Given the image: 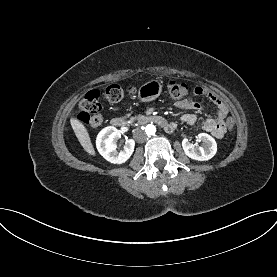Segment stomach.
Returning <instances> with one entry per match:
<instances>
[{
	"label": "stomach",
	"instance_id": "0dacf381",
	"mask_svg": "<svg viewBox=\"0 0 277 277\" xmlns=\"http://www.w3.org/2000/svg\"><path fill=\"white\" fill-rule=\"evenodd\" d=\"M162 83L159 80H150L138 89V99L142 102H150L158 98L162 92Z\"/></svg>",
	"mask_w": 277,
	"mask_h": 277
}]
</instances>
